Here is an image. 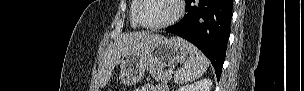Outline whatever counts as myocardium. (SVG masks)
Listing matches in <instances>:
<instances>
[{"label":"myocardium","mask_w":304,"mask_h":91,"mask_svg":"<svg viewBox=\"0 0 304 91\" xmlns=\"http://www.w3.org/2000/svg\"><path fill=\"white\" fill-rule=\"evenodd\" d=\"M174 5H175V13L173 14V16L171 18H169L168 20L162 22V23H158V24H147L145 23L142 18H141V10L144 6V0H137V7L135 10V18L138 22V24L140 26H142L143 28L146 29H162V28H167L173 24H175L176 22H178L185 10L184 7V1L183 0H172Z\"/></svg>","instance_id":"f54148a6"}]
</instances>
